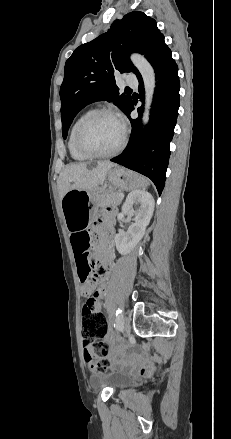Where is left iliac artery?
<instances>
[{"mask_svg": "<svg viewBox=\"0 0 231 439\" xmlns=\"http://www.w3.org/2000/svg\"><path fill=\"white\" fill-rule=\"evenodd\" d=\"M115 315L116 318H115L114 327L118 330L122 327V310L120 308H117Z\"/></svg>", "mask_w": 231, "mask_h": 439, "instance_id": "44dca946", "label": "left iliac artery"}]
</instances>
